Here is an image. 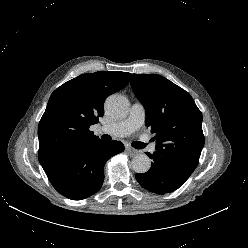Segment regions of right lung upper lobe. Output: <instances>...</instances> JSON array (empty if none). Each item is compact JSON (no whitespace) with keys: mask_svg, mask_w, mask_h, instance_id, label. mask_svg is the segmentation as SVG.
I'll return each mask as SVG.
<instances>
[{"mask_svg":"<svg viewBox=\"0 0 248 248\" xmlns=\"http://www.w3.org/2000/svg\"><path fill=\"white\" fill-rule=\"evenodd\" d=\"M130 77L119 71L82 74L52 93L38 126V158L43 168L71 146L98 139L89 127L103 116L105 98L123 89Z\"/></svg>","mask_w":248,"mask_h":248,"instance_id":"obj_1","label":"right lung upper lobe"}]
</instances>
